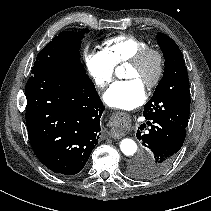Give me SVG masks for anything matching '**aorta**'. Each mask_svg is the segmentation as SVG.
<instances>
[{
  "mask_svg": "<svg viewBox=\"0 0 211 211\" xmlns=\"http://www.w3.org/2000/svg\"><path fill=\"white\" fill-rule=\"evenodd\" d=\"M120 149L126 156H133L137 151V144L130 138H124L120 142Z\"/></svg>",
  "mask_w": 211,
  "mask_h": 211,
  "instance_id": "aorta-1",
  "label": "aorta"
}]
</instances>
